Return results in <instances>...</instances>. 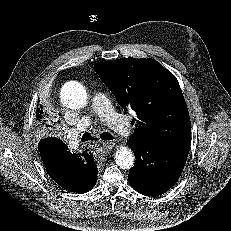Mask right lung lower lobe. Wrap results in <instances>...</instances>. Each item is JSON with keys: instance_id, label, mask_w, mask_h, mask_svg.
<instances>
[{"instance_id": "98d812e1", "label": "right lung lower lobe", "mask_w": 231, "mask_h": 231, "mask_svg": "<svg viewBox=\"0 0 231 231\" xmlns=\"http://www.w3.org/2000/svg\"><path fill=\"white\" fill-rule=\"evenodd\" d=\"M42 161L51 178L62 188L76 193H85L93 188L97 181V168L90 154L83 153L82 158L75 160L72 167V181L65 182L59 166L69 159L71 153L65 143L55 137L42 139L38 144Z\"/></svg>"}]
</instances>
